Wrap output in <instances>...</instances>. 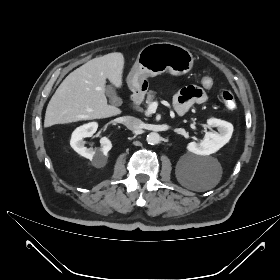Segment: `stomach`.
Instances as JSON below:
<instances>
[{"instance_id": "stomach-1", "label": "stomach", "mask_w": 280, "mask_h": 280, "mask_svg": "<svg viewBox=\"0 0 280 280\" xmlns=\"http://www.w3.org/2000/svg\"><path fill=\"white\" fill-rule=\"evenodd\" d=\"M193 55L183 46L169 43H151L139 52L127 77L132 91H143L148 77L164 72L178 76L188 73L193 67Z\"/></svg>"}]
</instances>
